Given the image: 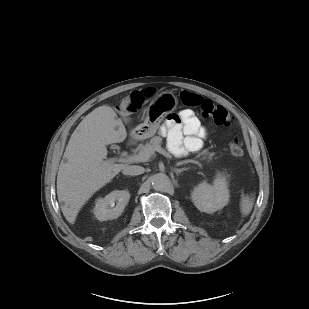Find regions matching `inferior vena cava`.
Segmentation results:
<instances>
[{
	"instance_id": "inferior-vena-cava-1",
	"label": "inferior vena cava",
	"mask_w": 309,
	"mask_h": 309,
	"mask_svg": "<svg viewBox=\"0 0 309 309\" xmlns=\"http://www.w3.org/2000/svg\"><path fill=\"white\" fill-rule=\"evenodd\" d=\"M122 173L124 175H140L144 173V168L138 165H132V166H126L123 170Z\"/></svg>"
}]
</instances>
